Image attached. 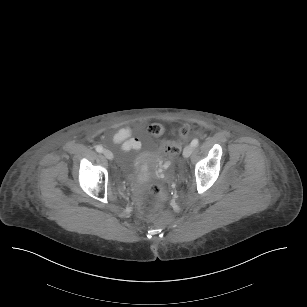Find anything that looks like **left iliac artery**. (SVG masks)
Masks as SVG:
<instances>
[{"mask_svg": "<svg viewBox=\"0 0 307 307\" xmlns=\"http://www.w3.org/2000/svg\"><path fill=\"white\" fill-rule=\"evenodd\" d=\"M199 144V140L198 139H193L191 142V146L195 147Z\"/></svg>", "mask_w": 307, "mask_h": 307, "instance_id": "left-iliac-artery-1", "label": "left iliac artery"}]
</instances>
